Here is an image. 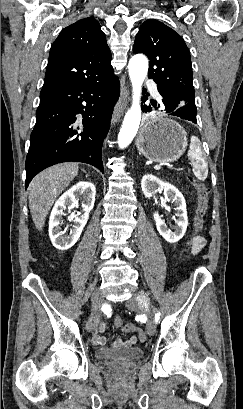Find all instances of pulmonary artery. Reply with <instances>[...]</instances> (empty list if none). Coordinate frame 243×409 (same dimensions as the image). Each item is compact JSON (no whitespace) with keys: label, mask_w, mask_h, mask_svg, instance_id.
Wrapping results in <instances>:
<instances>
[{"label":"pulmonary artery","mask_w":243,"mask_h":409,"mask_svg":"<svg viewBox=\"0 0 243 409\" xmlns=\"http://www.w3.org/2000/svg\"><path fill=\"white\" fill-rule=\"evenodd\" d=\"M147 85L149 86L150 91H151V93L153 94V96H155V97H160V94H159V92H158V90H157L155 84H154L152 81L148 80V81H147Z\"/></svg>","instance_id":"e3ab8cb5"}]
</instances>
